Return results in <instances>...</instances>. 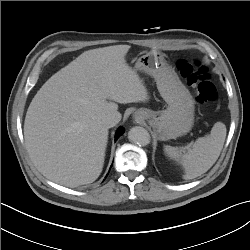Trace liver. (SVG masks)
I'll use <instances>...</instances> for the list:
<instances>
[{
    "label": "liver",
    "instance_id": "6515ba94",
    "mask_svg": "<svg viewBox=\"0 0 250 250\" xmlns=\"http://www.w3.org/2000/svg\"><path fill=\"white\" fill-rule=\"evenodd\" d=\"M129 45L83 52L52 75L32 99L25 146L37 169L67 187L94 182L102 172L108 128L102 119L117 103L148 101L139 75L125 60Z\"/></svg>",
    "mask_w": 250,
    "mask_h": 250
}]
</instances>
